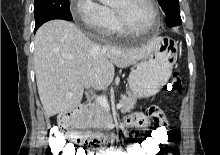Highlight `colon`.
I'll return each mask as SVG.
<instances>
[{"label":"colon","mask_w":220,"mask_h":155,"mask_svg":"<svg viewBox=\"0 0 220 155\" xmlns=\"http://www.w3.org/2000/svg\"><path fill=\"white\" fill-rule=\"evenodd\" d=\"M167 90L174 95H180L182 93L183 86L178 72L172 74L167 84ZM154 122L147 125V130L151 131H148L145 139H134V142H129L130 150L134 155H159L162 144H170L169 135H167L169 131L166 129L167 124L162 123L161 119H154ZM51 142L53 144L49 147L50 155H88L87 152H83L81 149V143H66L61 135L57 133L52 134ZM89 146L102 147L103 145ZM162 154L172 155L169 152H163Z\"/></svg>","instance_id":"1"}]
</instances>
